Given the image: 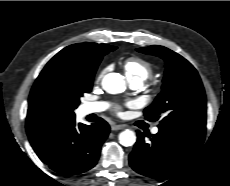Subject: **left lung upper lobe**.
<instances>
[{
    "label": "left lung upper lobe",
    "mask_w": 230,
    "mask_h": 186,
    "mask_svg": "<svg viewBox=\"0 0 230 186\" xmlns=\"http://www.w3.org/2000/svg\"><path fill=\"white\" fill-rule=\"evenodd\" d=\"M137 51L159 56L166 62L162 92L144 110L150 121L159 118L161 127L206 125V97L196 69L172 50L153 45Z\"/></svg>",
    "instance_id": "obj_1"
}]
</instances>
